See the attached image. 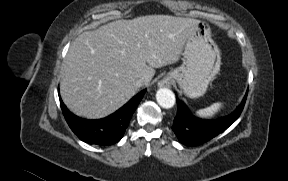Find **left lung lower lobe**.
Listing matches in <instances>:
<instances>
[{"label":"left lung lower lobe","mask_w":288,"mask_h":181,"mask_svg":"<svg viewBox=\"0 0 288 181\" xmlns=\"http://www.w3.org/2000/svg\"><path fill=\"white\" fill-rule=\"evenodd\" d=\"M246 97L247 93L234 112L217 120H203L193 116L186 106L176 98L177 115L174 118L172 130L182 144L201 145L224 132L237 120L244 108Z\"/></svg>","instance_id":"0a47b994"}]
</instances>
